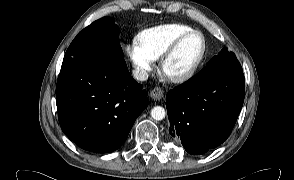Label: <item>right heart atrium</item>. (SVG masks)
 Masks as SVG:
<instances>
[{
	"label": "right heart atrium",
	"instance_id": "right-heart-atrium-1",
	"mask_svg": "<svg viewBox=\"0 0 294 180\" xmlns=\"http://www.w3.org/2000/svg\"><path fill=\"white\" fill-rule=\"evenodd\" d=\"M125 51L134 66L138 78L145 79L153 69L155 60L149 56L136 39L126 45Z\"/></svg>",
	"mask_w": 294,
	"mask_h": 180
}]
</instances>
